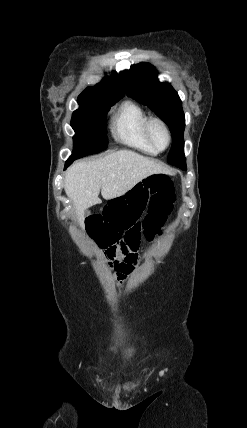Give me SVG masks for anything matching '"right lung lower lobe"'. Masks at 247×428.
Listing matches in <instances>:
<instances>
[{
	"instance_id": "obj_1",
	"label": "right lung lower lobe",
	"mask_w": 247,
	"mask_h": 428,
	"mask_svg": "<svg viewBox=\"0 0 247 428\" xmlns=\"http://www.w3.org/2000/svg\"><path fill=\"white\" fill-rule=\"evenodd\" d=\"M74 160L75 159H69V160H67L66 163H65V168L64 169H66Z\"/></svg>"
}]
</instances>
